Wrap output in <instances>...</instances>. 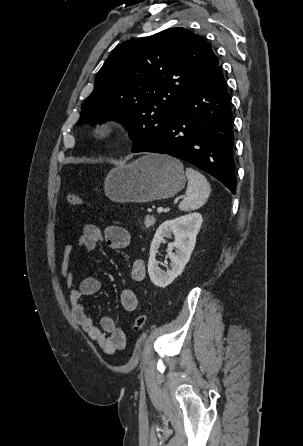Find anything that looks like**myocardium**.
Instances as JSON below:
<instances>
[{"label": "myocardium", "instance_id": "1", "mask_svg": "<svg viewBox=\"0 0 303 446\" xmlns=\"http://www.w3.org/2000/svg\"><path fill=\"white\" fill-rule=\"evenodd\" d=\"M116 133V125L108 119L98 122L93 129V136L98 142H108L114 138Z\"/></svg>", "mask_w": 303, "mask_h": 446}]
</instances>
